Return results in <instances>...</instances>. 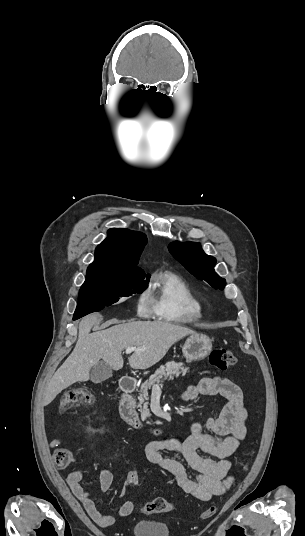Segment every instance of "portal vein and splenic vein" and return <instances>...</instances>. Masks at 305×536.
Returning a JSON list of instances; mask_svg holds the SVG:
<instances>
[{"label":"portal vein and splenic vein","mask_w":305,"mask_h":536,"mask_svg":"<svg viewBox=\"0 0 305 536\" xmlns=\"http://www.w3.org/2000/svg\"><path fill=\"white\" fill-rule=\"evenodd\" d=\"M142 352V350H146V348H126V354H131V352ZM153 388H157L159 390V386L157 384H154Z\"/></svg>","instance_id":"obj_1"}]
</instances>
